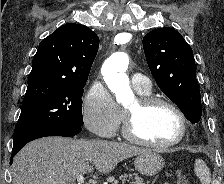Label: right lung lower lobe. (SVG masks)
Masks as SVG:
<instances>
[{
	"label": "right lung lower lobe",
	"instance_id": "98d812e1",
	"mask_svg": "<svg viewBox=\"0 0 224 184\" xmlns=\"http://www.w3.org/2000/svg\"><path fill=\"white\" fill-rule=\"evenodd\" d=\"M82 130L81 127H69V126H48L41 127L33 130L24 132L18 138L13 141V149L11 155L10 164H12L13 157L17 152L28 142L35 140L37 138L46 136H65L71 137L77 135Z\"/></svg>",
	"mask_w": 224,
	"mask_h": 184
}]
</instances>
